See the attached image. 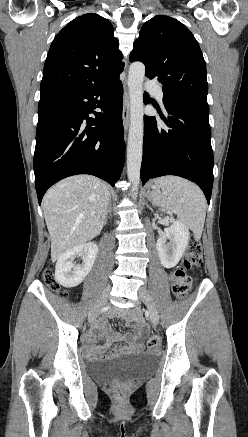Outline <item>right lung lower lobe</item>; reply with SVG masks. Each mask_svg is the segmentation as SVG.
I'll use <instances>...</instances> for the list:
<instances>
[{"label":"right lung lower lobe","instance_id":"right-lung-lower-lobe-1","mask_svg":"<svg viewBox=\"0 0 248 437\" xmlns=\"http://www.w3.org/2000/svg\"><path fill=\"white\" fill-rule=\"evenodd\" d=\"M122 100L119 75L95 87L41 92L34 154L39 204L68 176L90 174L112 186L118 181L125 155ZM96 104L103 113L93 111Z\"/></svg>","mask_w":248,"mask_h":437}]
</instances>
